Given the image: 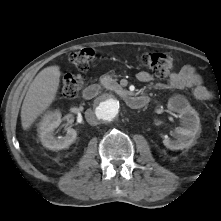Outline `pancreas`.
Returning a JSON list of instances; mask_svg holds the SVG:
<instances>
[{
  "label": "pancreas",
  "instance_id": "obj_1",
  "mask_svg": "<svg viewBox=\"0 0 221 221\" xmlns=\"http://www.w3.org/2000/svg\"><path fill=\"white\" fill-rule=\"evenodd\" d=\"M100 82L106 89H110V90L122 89V87L116 82L115 79L107 75L102 76L100 79Z\"/></svg>",
  "mask_w": 221,
  "mask_h": 221
}]
</instances>
